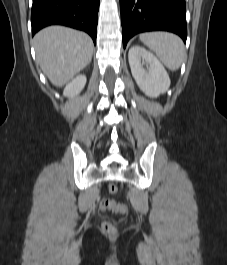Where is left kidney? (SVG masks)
<instances>
[{
  "instance_id": "5707ae66",
  "label": "left kidney",
  "mask_w": 227,
  "mask_h": 265,
  "mask_svg": "<svg viewBox=\"0 0 227 265\" xmlns=\"http://www.w3.org/2000/svg\"><path fill=\"white\" fill-rule=\"evenodd\" d=\"M128 59L132 76L147 96L156 98L168 90L169 75L151 52L135 45L129 49ZM144 65L147 68H144Z\"/></svg>"
}]
</instances>
